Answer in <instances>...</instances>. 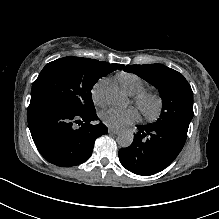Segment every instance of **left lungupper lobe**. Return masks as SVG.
<instances>
[{
    "instance_id": "obj_1",
    "label": "left lung upper lobe",
    "mask_w": 219,
    "mask_h": 219,
    "mask_svg": "<svg viewBox=\"0 0 219 219\" xmlns=\"http://www.w3.org/2000/svg\"><path fill=\"white\" fill-rule=\"evenodd\" d=\"M124 71L138 75L159 90L162 110L154 125L188 131L193 117V91L182 74L162 64L127 65Z\"/></svg>"
}]
</instances>
